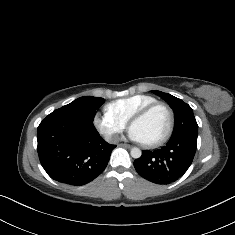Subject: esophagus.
I'll use <instances>...</instances> for the list:
<instances>
[{"mask_svg": "<svg viewBox=\"0 0 235 235\" xmlns=\"http://www.w3.org/2000/svg\"><path fill=\"white\" fill-rule=\"evenodd\" d=\"M118 146L128 148V149H130L132 147L130 144H126V143H120V144H118Z\"/></svg>", "mask_w": 235, "mask_h": 235, "instance_id": "obj_1", "label": "esophagus"}]
</instances>
